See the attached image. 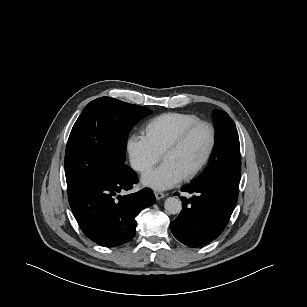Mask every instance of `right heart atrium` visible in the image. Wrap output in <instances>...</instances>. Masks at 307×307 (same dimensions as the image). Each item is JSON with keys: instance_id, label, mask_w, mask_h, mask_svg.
<instances>
[{"instance_id": "1", "label": "right heart atrium", "mask_w": 307, "mask_h": 307, "mask_svg": "<svg viewBox=\"0 0 307 307\" xmlns=\"http://www.w3.org/2000/svg\"><path fill=\"white\" fill-rule=\"evenodd\" d=\"M127 150L132 167L140 173L146 172L161 159V154L143 135H132L128 140Z\"/></svg>"}]
</instances>
